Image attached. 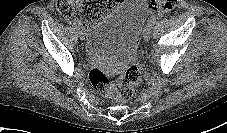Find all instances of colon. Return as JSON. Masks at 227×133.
Instances as JSON below:
<instances>
[{"mask_svg": "<svg viewBox=\"0 0 227 133\" xmlns=\"http://www.w3.org/2000/svg\"><path fill=\"white\" fill-rule=\"evenodd\" d=\"M122 0H57V10L65 17H76L84 26L90 27L115 9ZM176 0H149L154 12L168 13L174 9ZM91 85L102 95L117 102H126L135 94L141 82V72L135 65L119 74L107 73L94 68L89 73Z\"/></svg>", "mask_w": 227, "mask_h": 133, "instance_id": "obj_1", "label": "colon"}]
</instances>
